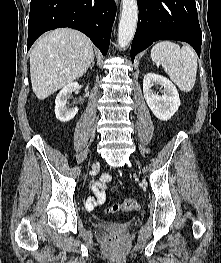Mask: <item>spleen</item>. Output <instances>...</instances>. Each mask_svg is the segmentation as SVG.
<instances>
[{"label":"spleen","mask_w":221,"mask_h":263,"mask_svg":"<svg viewBox=\"0 0 221 263\" xmlns=\"http://www.w3.org/2000/svg\"><path fill=\"white\" fill-rule=\"evenodd\" d=\"M151 58L162 65L170 79L183 92L194 87L197 74V55L189 45L180 46L171 41H160L151 49Z\"/></svg>","instance_id":"1"}]
</instances>
